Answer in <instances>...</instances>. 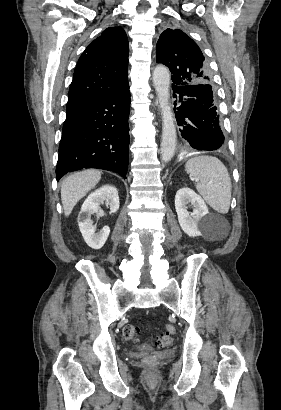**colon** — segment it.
I'll return each mask as SVG.
<instances>
[{
    "label": "colon",
    "mask_w": 281,
    "mask_h": 410,
    "mask_svg": "<svg viewBox=\"0 0 281 410\" xmlns=\"http://www.w3.org/2000/svg\"><path fill=\"white\" fill-rule=\"evenodd\" d=\"M175 326L167 324L165 326V333L155 340L157 347H165L173 342V336L175 334ZM123 337L126 341L137 342L139 337V329L132 324H127L123 327ZM147 364H153L155 362V356L148 355L145 357Z\"/></svg>",
    "instance_id": "colon-1"
}]
</instances>
